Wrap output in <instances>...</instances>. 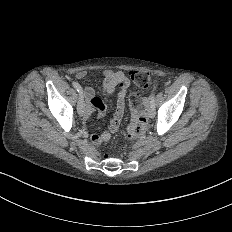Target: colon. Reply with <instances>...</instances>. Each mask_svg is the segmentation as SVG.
<instances>
[{
	"instance_id": "obj_1",
	"label": "colon",
	"mask_w": 232,
	"mask_h": 232,
	"mask_svg": "<svg viewBox=\"0 0 232 232\" xmlns=\"http://www.w3.org/2000/svg\"><path fill=\"white\" fill-rule=\"evenodd\" d=\"M131 79L136 81L139 86H151V91H158V86H153L157 81L156 71H138L131 74ZM132 111L131 125L126 129V137L130 141H137L147 127L148 106L136 94L129 96Z\"/></svg>"
}]
</instances>
